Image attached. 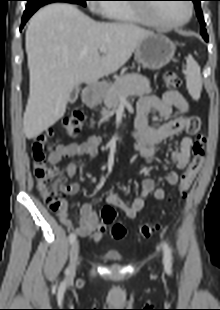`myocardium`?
I'll use <instances>...</instances> for the list:
<instances>
[{"mask_svg": "<svg viewBox=\"0 0 220 310\" xmlns=\"http://www.w3.org/2000/svg\"><path fill=\"white\" fill-rule=\"evenodd\" d=\"M187 7V16L182 19L181 21L178 22H166L164 20H161L160 18H158L155 14L150 15V18L154 24V26L156 27H160V28H168V29H173V28H179L182 27L183 25H185L186 23H188L193 15V7L190 3L186 4ZM137 11L140 14H144L145 16H149L148 12L146 11V9L137 7ZM150 11V10H149Z\"/></svg>", "mask_w": 220, "mask_h": 310, "instance_id": "obj_1", "label": "myocardium"}]
</instances>
